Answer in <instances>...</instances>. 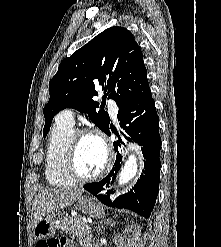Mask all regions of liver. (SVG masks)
Returning a JSON list of instances; mask_svg holds the SVG:
<instances>
[{"label":"liver","mask_w":221,"mask_h":247,"mask_svg":"<svg viewBox=\"0 0 221 247\" xmlns=\"http://www.w3.org/2000/svg\"><path fill=\"white\" fill-rule=\"evenodd\" d=\"M82 189L43 188L35 196L32 206V223L35 226L47 214L71 206L82 195Z\"/></svg>","instance_id":"obj_1"}]
</instances>
